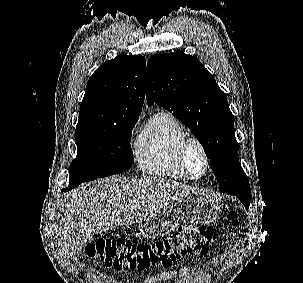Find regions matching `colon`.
Listing matches in <instances>:
<instances>
[{"instance_id": "colon-1", "label": "colon", "mask_w": 303, "mask_h": 283, "mask_svg": "<svg viewBox=\"0 0 303 283\" xmlns=\"http://www.w3.org/2000/svg\"><path fill=\"white\" fill-rule=\"evenodd\" d=\"M230 223H237V213H227ZM215 241L213 228L206 225H185L170 237L152 243H134L116 239H98L85 248V255L100 265L124 271H143L167 267L186 254L208 253Z\"/></svg>"}]
</instances>
